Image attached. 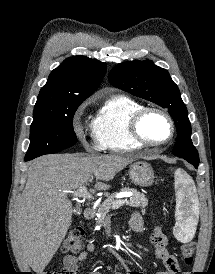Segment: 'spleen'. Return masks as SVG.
<instances>
[{"label":"spleen","mask_w":215,"mask_h":274,"mask_svg":"<svg viewBox=\"0 0 215 274\" xmlns=\"http://www.w3.org/2000/svg\"><path fill=\"white\" fill-rule=\"evenodd\" d=\"M176 193L175 237L181 242H189L195 233L198 198L193 179L182 169L174 173Z\"/></svg>","instance_id":"1"}]
</instances>
